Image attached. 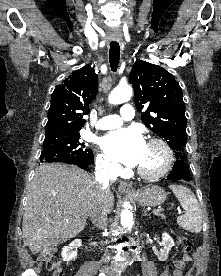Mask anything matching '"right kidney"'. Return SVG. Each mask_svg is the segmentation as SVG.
I'll return each instance as SVG.
<instances>
[{
    "instance_id": "1",
    "label": "right kidney",
    "mask_w": 221,
    "mask_h": 276,
    "mask_svg": "<svg viewBox=\"0 0 221 276\" xmlns=\"http://www.w3.org/2000/svg\"><path fill=\"white\" fill-rule=\"evenodd\" d=\"M82 241L80 239H76L72 241L68 246L63 247L61 256L64 261L73 260L77 257V252L73 250L81 246Z\"/></svg>"
}]
</instances>
